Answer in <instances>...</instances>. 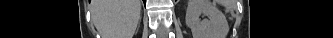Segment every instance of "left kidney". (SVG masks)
Returning a JSON list of instances; mask_svg holds the SVG:
<instances>
[{
  "instance_id": "5707ae66",
  "label": "left kidney",
  "mask_w": 333,
  "mask_h": 38,
  "mask_svg": "<svg viewBox=\"0 0 333 38\" xmlns=\"http://www.w3.org/2000/svg\"><path fill=\"white\" fill-rule=\"evenodd\" d=\"M186 24L193 38H226L229 31L225 15L209 0L188 1Z\"/></svg>"
}]
</instances>
